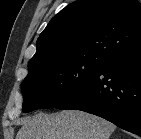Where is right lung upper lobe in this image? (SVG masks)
Returning <instances> with one entry per match:
<instances>
[{
  "mask_svg": "<svg viewBox=\"0 0 141 139\" xmlns=\"http://www.w3.org/2000/svg\"><path fill=\"white\" fill-rule=\"evenodd\" d=\"M139 44V1L77 0L55 15L40 34L28 67L84 56L108 59Z\"/></svg>",
  "mask_w": 141,
  "mask_h": 139,
  "instance_id": "right-lung-upper-lobe-1",
  "label": "right lung upper lobe"
}]
</instances>
